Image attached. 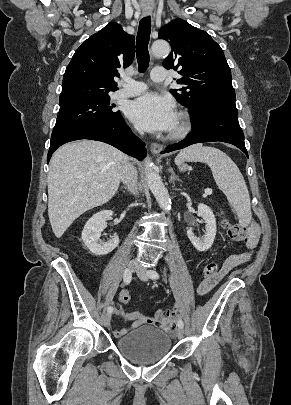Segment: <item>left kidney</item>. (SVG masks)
Listing matches in <instances>:
<instances>
[{
    "mask_svg": "<svg viewBox=\"0 0 291 405\" xmlns=\"http://www.w3.org/2000/svg\"><path fill=\"white\" fill-rule=\"evenodd\" d=\"M198 216L202 217L205 222L206 233L202 238L194 235L191 229L187 230V236L193 246L200 252L207 251L211 248L216 236V219L212 210L205 204L198 205Z\"/></svg>",
    "mask_w": 291,
    "mask_h": 405,
    "instance_id": "1",
    "label": "left kidney"
}]
</instances>
